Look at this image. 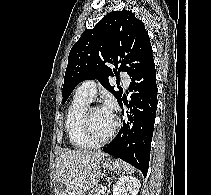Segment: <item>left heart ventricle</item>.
I'll list each match as a JSON object with an SVG mask.
<instances>
[{"label": "left heart ventricle", "mask_w": 211, "mask_h": 195, "mask_svg": "<svg viewBox=\"0 0 211 195\" xmlns=\"http://www.w3.org/2000/svg\"><path fill=\"white\" fill-rule=\"evenodd\" d=\"M90 121L92 134L97 139L107 136L114 126V117L105 113L102 108L91 111Z\"/></svg>", "instance_id": "1"}]
</instances>
